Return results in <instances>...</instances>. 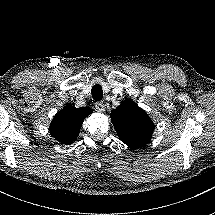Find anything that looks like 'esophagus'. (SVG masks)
<instances>
[{
	"instance_id": "34e87169",
	"label": "esophagus",
	"mask_w": 215,
	"mask_h": 215,
	"mask_svg": "<svg viewBox=\"0 0 215 215\" xmlns=\"http://www.w3.org/2000/svg\"><path fill=\"white\" fill-rule=\"evenodd\" d=\"M95 108L98 112H104L105 111V106H104L103 102H96Z\"/></svg>"
}]
</instances>
